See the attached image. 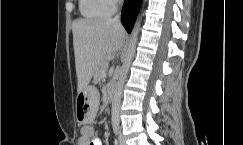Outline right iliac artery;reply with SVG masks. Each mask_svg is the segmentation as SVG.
<instances>
[{"label":"right iliac artery","instance_id":"obj_1","mask_svg":"<svg viewBox=\"0 0 243 145\" xmlns=\"http://www.w3.org/2000/svg\"><path fill=\"white\" fill-rule=\"evenodd\" d=\"M113 131H114L115 135L119 134V125H118V123H114L113 124Z\"/></svg>","mask_w":243,"mask_h":145}]
</instances>
